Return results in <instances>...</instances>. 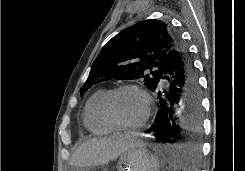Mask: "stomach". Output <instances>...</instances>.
<instances>
[{
	"label": "stomach",
	"mask_w": 245,
	"mask_h": 171,
	"mask_svg": "<svg viewBox=\"0 0 245 171\" xmlns=\"http://www.w3.org/2000/svg\"><path fill=\"white\" fill-rule=\"evenodd\" d=\"M158 156L152 154L145 146L134 147L122 154L117 163L118 171H159ZM71 171H88L86 168L76 167Z\"/></svg>",
	"instance_id": "obj_1"
}]
</instances>
